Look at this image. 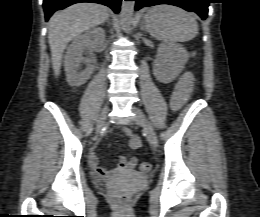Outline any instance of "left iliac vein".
Here are the masks:
<instances>
[{"label":"left iliac vein","mask_w":260,"mask_h":217,"mask_svg":"<svg viewBox=\"0 0 260 217\" xmlns=\"http://www.w3.org/2000/svg\"><path fill=\"white\" fill-rule=\"evenodd\" d=\"M132 111L135 113V122L143 127L150 144L156 148L158 146V138L152 124L140 109L132 107Z\"/></svg>","instance_id":"1"}]
</instances>
